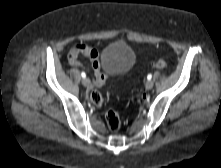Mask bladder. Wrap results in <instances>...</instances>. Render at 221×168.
I'll return each instance as SVG.
<instances>
[{
    "label": "bladder",
    "instance_id": "31cf9c89",
    "mask_svg": "<svg viewBox=\"0 0 221 168\" xmlns=\"http://www.w3.org/2000/svg\"><path fill=\"white\" fill-rule=\"evenodd\" d=\"M104 68L115 75L127 72L135 62L133 49L123 41H117L107 45L101 55Z\"/></svg>",
    "mask_w": 221,
    "mask_h": 168
}]
</instances>
